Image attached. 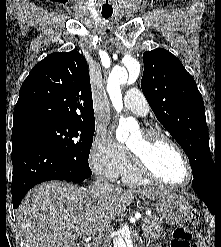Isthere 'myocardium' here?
<instances>
[{
  "label": "myocardium",
  "mask_w": 221,
  "mask_h": 247,
  "mask_svg": "<svg viewBox=\"0 0 221 247\" xmlns=\"http://www.w3.org/2000/svg\"><path fill=\"white\" fill-rule=\"evenodd\" d=\"M144 138V149L137 151L127 146L130 160L136 171L150 181L172 188H183L191 184L194 178L191 162L183 148L168 135L154 129H144L141 131ZM159 145H169L173 147L183 159L188 178L184 183H170L160 178L152 167L150 151Z\"/></svg>",
  "instance_id": "f54148a6"
}]
</instances>
